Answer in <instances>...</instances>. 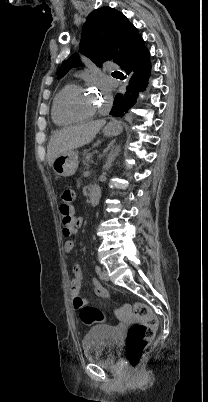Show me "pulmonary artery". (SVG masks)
Instances as JSON below:
<instances>
[{
    "label": "pulmonary artery",
    "mask_w": 208,
    "mask_h": 402,
    "mask_svg": "<svg viewBox=\"0 0 208 402\" xmlns=\"http://www.w3.org/2000/svg\"><path fill=\"white\" fill-rule=\"evenodd\" d=\"M104 65H105V69L107 70V71H117V69H118V66L116 65V64H112V61L111 60H106L105 62H104Z\"/></svg>",
    "instance_id": "1"
}]
</instances>
